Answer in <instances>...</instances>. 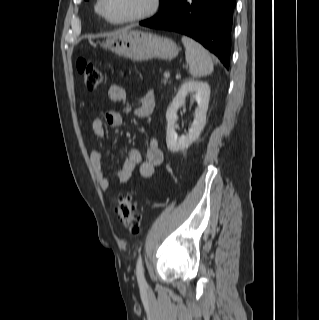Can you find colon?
Here are the masks:
<instances>
[{
  "instance_id": "obj_1",
  "label": "colon",
  "mask_w": 319,
  "mask_h": 320,
  "mask_svg": "<svg viewBox=\"0 0 319 320\" xmlns=\"http://www.w3.org/2000/svg\"><path fill=\"white\" fill-rule=\"evenodd\" d=\"M77 66L88 89H96L104 83V73L92 63L80 59ZM114 207L122 226L132 233H137L140 226V215L132 196L130 194L117 196Z\"/></svg>"
}]
</instances>
